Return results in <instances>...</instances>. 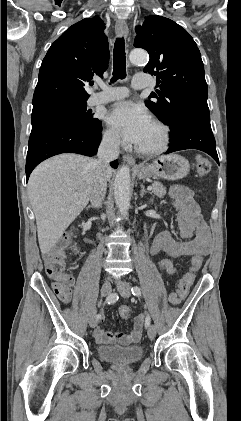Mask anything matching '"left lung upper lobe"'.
<instances>
[{
	"label": "left lung upper lobe",
	"mask_w": 241,
	"mask_h": 421,
	"mask_svg": "<svg viewBox=\"0 0 241 421\" xmlns=\"http://www.w3.org/2000/svg\"><path fill=\"white\" fill-rule=\"evenodd\" d=\"M135 47L148 51L145 72L157 76L160 90L146 101L160 121L169 125L171 134L194 112L209 111L208 87L200 51L190 34L174 21L154 15L136 27Z\"/></svg>",
	"instance_id": "obj_1"
}]
</instances>
